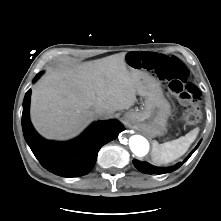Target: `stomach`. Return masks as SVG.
I'll return each instance as SVG.
<instances>
[{
    "label": "stomach",
    "instance_id": "obj_1",
    "mask_svg": "<svg viewBox=\"0 0 221 221\" xmlns=\"http://www.w3.org/2000/svg\"><path fill=\"white\" fill-rule=\"evenodd\" d=\"M131 53L126 56V63L133 73H141L138 94L145 98L142 110H131L125 118L136 128L153 138L164 134L171 115V105L165 98L160 83L153 77L131 66Z\"/></svg>",
    "mask_w": 221,
    "mask_h": 221
}]
</instances>
